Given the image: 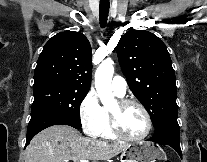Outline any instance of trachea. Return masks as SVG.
<instances>
[{
	"instance_id": "1",
	"label": "trachea",
	"mask_w": 207,
	"mask_h": 162,
	"mask_svg": "<svg viewBox=\"0 0 207 162\" xmlns=\"http://www.w3.org/2000/svg\"><path fill=\"white\" fill-rule=\"evenodd\" d=\"M109 8V0H100L99 20L102 28H104L107 23Z\"/></svg>"
}]
</instances>
